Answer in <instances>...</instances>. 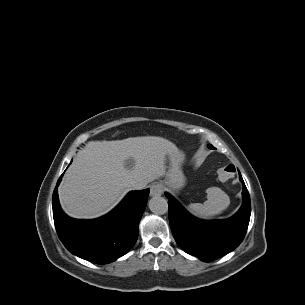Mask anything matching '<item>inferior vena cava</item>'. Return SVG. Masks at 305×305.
<instances>
[{
    "mask_svg": "<svg viewBox=\"0 0 305 305\" xmlns=\"http://www.w3.org/2000/svg\"><path fill=\"white\" fill-rule=\"evenodd\" d=\"M131 187H132V189L139 190V189H143L145 186L143 184L133 182L131 184Z\"/></svg>",
    "mask_w": 305,
    "mask_h": 305,
    "instance_id": "1",
    "label": "inferior vena cava"
}]
</instances>
